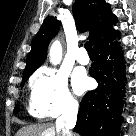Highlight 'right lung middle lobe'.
Masks as SVG:
<instances>
[{
	"label": "right lung middle lobe",
	"instance_id": "obj_1",
	"mask_svg": "<svg viewBox=\"0 0 136 136\" xmlns=\"http://www.w3.org/2000/svg\"><path fill=\"white\" fill-rule=\"evenodd\" d=\"M28 77H29V76L24 77V78L22 79V85L26 82V80L28 79ZM18 111H19V106L16 105L15 108H14V113H17Z\"/></svg>",
	"mask_w": 136,
	"mask_h": 136
}]
</instances>
